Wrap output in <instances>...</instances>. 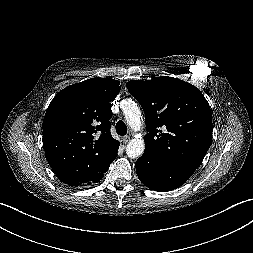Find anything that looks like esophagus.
Segmentation results:
<instances>
[{
  "mask_svg": "<svg viewBox=\"0 0 253 253\" xmlns=\"http://www.w3.org/2000/svg\"><path fill=\"white\" fill-rule=\"evenodd\" d=\"M122 141H123V143L124 144H127L129 141H130V136H124L123 138H122Z\"/></svg>",
  "mask_w": 253,
  "mask_h": 253,
  "instance_id": "esophagus-1",
  "label": "esophagus"
}]
</instances>
